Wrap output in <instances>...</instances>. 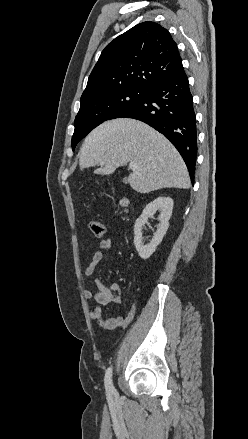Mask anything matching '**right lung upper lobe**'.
Segmentation results:
<instances>
[{
    "mask_svg": "<svg viewBox=\"0 0 248 439\" xmlns=\"http://www.w3.org/2000/svg\"><path fill=\"white\" fill-rule=\"evenodd\" d=\"M183 69L170 33L157 23H140L118 36L102 51L80 103L117 89H148Z\"/></svg>",
    "mask_w": 248,
    "mask_h": 439,
    "instance_id": "right-lung-upper-lobe-1",
    "label": "right lung upper lobe"
}]
</instances>
